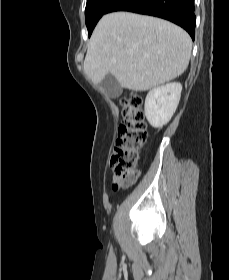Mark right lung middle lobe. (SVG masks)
<instances>
[{
	"mask_svg": "<svg viewBox=\"0 0 229 280\" xmlns=\"http://www.w3.org/2000/svg\"><path fill=\"white\" fill-rule=\"evenodd\" d=\"M115 0H87L85 9V21L89 36L91 35L98 20L104 15L109 6Z\"/></svg>",
	"mask_w": 229,
	"mask_h": 280,
	"instance_id": "dd1d6c3e",
	"label": "right lung middle lobe"
}]
</instances>
